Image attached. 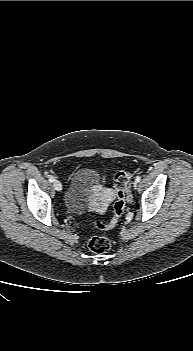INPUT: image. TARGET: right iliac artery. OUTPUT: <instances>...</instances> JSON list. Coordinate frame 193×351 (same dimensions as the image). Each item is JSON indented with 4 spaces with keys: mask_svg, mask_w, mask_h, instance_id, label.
<instances>
[{
    "mask_svg": "<svg viewBox=\"0 0 193 351\" xmlns=\"http://www.w3.org/2000/svg\"><path fill=\"white\" fill-rule=\"evenodd\" d=\"M49 182H54V178L52 176L49 177Z\"/></svg>",
    "mask_w": 193,
    "mask_h": 351,
    "instance_id": "1",
    "label": "right iliac artery"
}]
</instances>
